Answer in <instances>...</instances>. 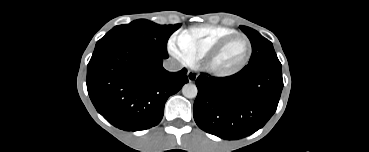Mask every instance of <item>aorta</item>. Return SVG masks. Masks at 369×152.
<instances>
[{
    "label": "aorta",
    "instance_id": "aorta-1",
    "mask_svg": "<svg viewBox=\"0 0 369 152\" xmlns=\"http://www.w3.org/2000/svg\"><path fill=\"white\" fill-rule=\"evenodd\" d=\"M198 89L195 84L187 83L182 87V94L186 98H195L197 96Z\"/></svg>",
    "mask_w": 369,
    "mask_h": 152
}]
</instances>
